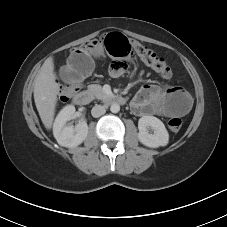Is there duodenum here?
Segmentation results:
<instances>
[{"label": "duodenum", "mask_w": 227, "mask_h": 227, "mask_svg": "<svg viewBox=\"0 0 227 227\" xmlns=\"http://www.w3.org/2000/svg\"><path fill=\"white\" fill-rule=\"evenodd\" d=\"M91 99H92L91 93L87 90H83L74 97V102L77 105H86L90 103ZM110 100L114 103L121 104V105L126 103V99L120 95H114L110 97Z\"/></svg>", "instance_id": "410a0bca"}]
</instances>
